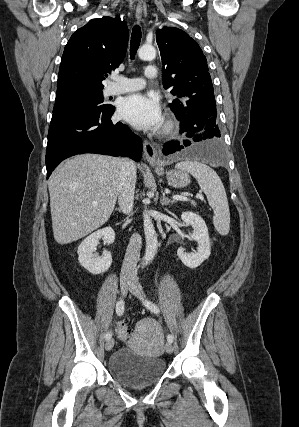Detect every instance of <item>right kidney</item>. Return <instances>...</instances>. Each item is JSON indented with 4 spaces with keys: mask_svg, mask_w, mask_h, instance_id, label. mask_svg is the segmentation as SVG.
<instances>
[{
    "mask_svg": "<svg viewBox=\"0 0 299 427\" xmlns=\"http://www.w3.org/2000/svg\"><path fill=\"white\" fill-rule=\"evenodd\" d=\"M101 238L104 239V244H112L115 240L114 230L111 227H105L92 233L82 241L77 251L80 264L94 275L107 271L112 264L109 251H104L101 256L94 253L95 246Z\"/></svg>",
    "mask_w": 299,
    "mask_h": 427,
    "instance_id": "1",
    "label": "right kidney"
}]
</instances>
